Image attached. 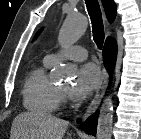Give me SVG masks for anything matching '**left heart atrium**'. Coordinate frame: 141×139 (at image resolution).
Wrapping results in <instances>:
<instances>
[{
	"mask_svg": "<svg viewBox=\"0 0 141 139\" xmlns=\"http://www.w3.org/2000/svg\"><path fill=\"white\" fill-rule=\"evenodd\" d=\"M100 80L98 67L92 63L84 64L79 68L76 80L70 89L71 96L78 100L89 97L99 86Z\"/></svg>",
	"mask_w": 141,
	"mask_h": 139,
	"instance_id": "1",
	"label": "left heart atrium"
}]
</instances>
